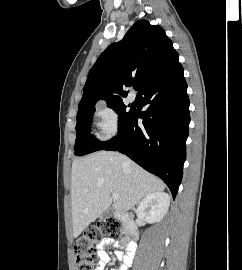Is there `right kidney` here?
Instances as JSON below:
<instances>
[{"instance_id":"ca27d5eb","label":"right kidney","mask_w":242,"mask_h":270,"mask_svg":"<svg viewBox=\"0 0 242 270\" xmlns=\"http://www.w3.org/2000/svg\"><path fill=\"white\" fill-rule=\"evenodd\" d=\"M170 206V197L164 192H154L148 194L140 202L136 213L137 216L148 222L155 223L163 219Z\"/></svg>"}]
</instances>
